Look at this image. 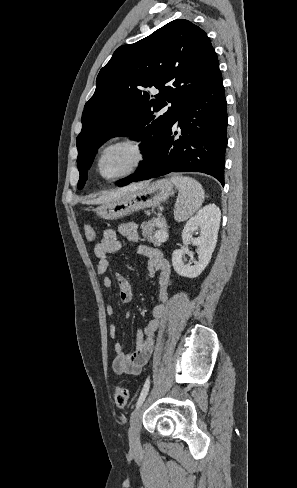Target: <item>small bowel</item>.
<instances>
[{
	"instance_id": "small-bowel-1",
	"label": "small bowel",
	"mask_w": 297,
	"mask_h": 488,
	"mask_svg": "<svg viewBox=\"0 0 297 488\" xmlns=\"http://www.w3.org/2000/svg\"><path fill=\"white\" fill-rule=\"evenodd\" d=\"M118 232L129 242L137 243L136 250L139 254L148 258V274L155 279L158 288L159 303L152 307L151 319L138 333L139 341L135 350L126 354L119 340H115L117 325L110 326V338L115 340L113 348L115 356L113 359V371L119 376H136L148 362L153 350L154 334L158 330L161 319L166 311V302L169 298L168 288L170 284L171 267L163 253L154 247L140 244L141 236L138 226L134 222H127L119 225ZM121 249V242L113 229L104 230L101 238L94 246V255L97 258V273L104 276L110 267L109 254L118 252ZM114 279L119 289V297L122 303H128L132 299V286L129 279L121 273H116ZM112 279L104 276L102 286L111 290ZM107 315L113 317L115 309L112 305L106 307Z\"/></svg>"
}]
</instances>
